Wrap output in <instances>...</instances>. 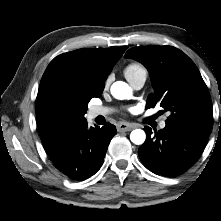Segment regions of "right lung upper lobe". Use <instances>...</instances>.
<instances>
[{
	"mask_svg": "<svg viewBox=\"0 0 221 221\" xmlns=\"http://www.w3.org/2000/svg\"><path fill=\"white\" fill-rule=\"evenodd\" d=\"M128 47L114 49H78L55 57L45 70L36 99V116L40 137L48 155L72 132L54 128L47 120L42 108V98L47 88L55 82L69 80L77 73L87 75V88L93 93L104 89L105 80L112 67Z\"/></svg>",
	"mask_w": 221,
	"mask_h": 221,
	"instance_id": "obj_1",
	"label": "right lung upper lobe"
}]
</instances>
